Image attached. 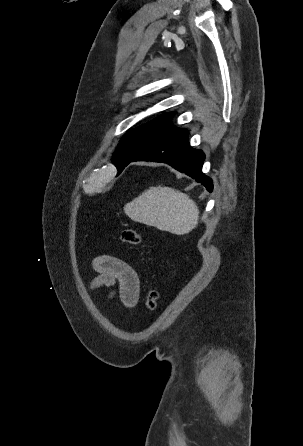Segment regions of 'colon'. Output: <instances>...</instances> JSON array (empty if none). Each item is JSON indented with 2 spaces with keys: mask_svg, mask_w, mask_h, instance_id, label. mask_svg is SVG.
<instances>
[{
  "mask_svg": "<svg viewBox=\"0 0 303 446\" xmlns=\"http://www.w3.org/2000/svg\"><path fill=\"white\" fill-rule=\"evenodd\" d=\"M121 240L128 245H138L141 242L139 233L131 228H126L121 232ZM159 300V292L155 286L151 287L146 295L145 305L149 310H155Z\"/></svg>",
  "mask_w": 303,
  "mask_h": 446,
  "instance_id": "colon-1",
  "label": "colon"
}]
</instances>
